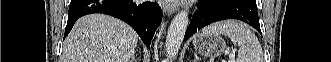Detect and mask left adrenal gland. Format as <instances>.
<instances>
[{"label":"left adrenal gland","mask_w":331,"mask_h":62,"mask_svg":"<svg viewBox=\"0 0 331 62\" xmlns=\"http://www.w3.org/2000/svg\"><path fill=\"white\" fill-rule=\"evenodd\" d=\"M197 60H199V58L197 57V55H195V62H197Z\"/></svg>","instance_id":"a2214340"}]
</instances>
